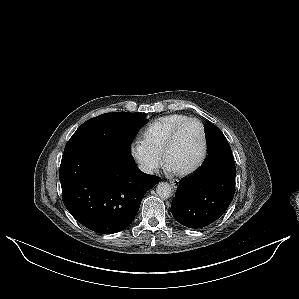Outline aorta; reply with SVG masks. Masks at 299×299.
<instances>
[{
    "instance_id": "762f6f07",
    "label": "aorta",
    "mask_w": 299,
    "mask_h": 299,
    "mask_svg": "<svg viewBox=\"0 0 299 299\" xmlns=\"http://www.w3.org/2000/svg\"><path fill=\"white\" fill-rule=\"evenodd\" d=\"M156 193L162 199H168L172 195V188L167 182H160L156 187Z\"/></svg>"
}]
</instances>
